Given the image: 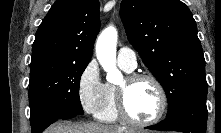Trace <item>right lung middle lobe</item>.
I'll return each mask as SVG.
<instances>
[{
	"instance_id": "right-lung-middle-lobe-1",
	"label": "right lung middle lobe",
	"mask_w": 221,
	"mask_h": 133,
	"mask_svg": "<svg viewBox=\"0 0 221 133\" xmlns=\"http://www.w3.org/2000/svg\"><path fill=\"white\" fill-rule=\"evenodd\" d=\"M86 63L64 64L30 74L31 113L62 114L74 110L83 114L79 98L80 78Z\"/></svg>"
}]
</instances>
